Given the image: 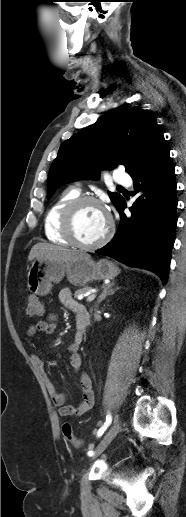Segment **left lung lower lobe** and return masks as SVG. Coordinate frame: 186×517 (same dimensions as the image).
<instances>
[{
	"mask_svg": "<svg viewBox=\"0 0 186 517\" xmlns=\"http://www.w3.org/2000/svg\"><path fill=\"white\" fill-rule=\"evenodd\" d=\"M169 146L162 138L151 154L129 174L134 195L140 193L126 217L123 198L117 209L121 222L113 239L96 253L110 256L129 266L158 274L165 284L177 224V197L174 165Z\"/></svg>",
	"mask_w": 186,
	"mask_h": 517,
	"instance_id": "left-lung-lower-lobe-1",
	"label": "left lung lower lobe"
}]
</instances>
